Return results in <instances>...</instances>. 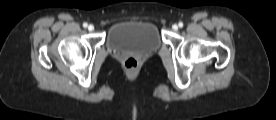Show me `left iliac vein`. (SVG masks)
<instances>
[{"label": "left iliac vein", "mask_w": 276, "mask_h": 120, "mask_svg": "<svg viewBox=\"0 0 276 120\" xmlns=\"http://www.w3.org/2000/svg\"><path fill=\"white\" fill-rule=\"evenodd\" d=\"M172 29L176 31V30H178V26H177L176 24H174V25L172 26Z\"/></svg>", "instance_id": "1"}]
</instances>
